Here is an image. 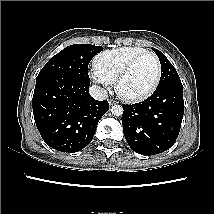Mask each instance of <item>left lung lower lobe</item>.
<instances>
[{
	"label": "left lung lower lobe",
	"instance_id": "left-lung-lower-lobe-1",
	"mask_svg": "<svg viewBox=\"0 0 214 214\" xmlns=\"http://www.w3.org/2000/svg\"><path fill=\"white\" fill-rule=\"evenodd\" d=\"M122 107L123 132L130 148L145 155L162 153L173 146L181 128L182 83L172 81L158 86L146 100Z\"/></svg>",
	"mask_w": 214,
	"mask_h": 214
}]
</instances>
